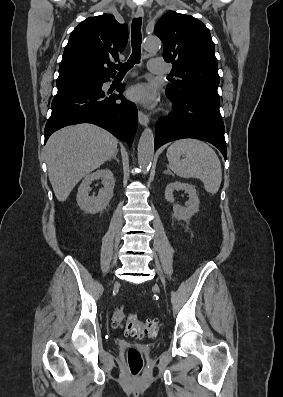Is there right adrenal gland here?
Masks as SVG:
<instances>
[{
    "mask_svg": "<svg viewBox=\"0 0 283 397\" xmlns=\"http://www.w3.org/2000/svg\"><path fill=\"white\" fill-rule=\"evenodd\" d=\"M117 153L116 152L108 161H111L112 159H115L117 162H119V159L117 158Z\"/></svg>",
    "mask_w": 283,
    "mask_h": 397,
    "instance_id": "1",
    "label": "right adrenal gland"
}]
</instances>
